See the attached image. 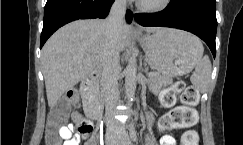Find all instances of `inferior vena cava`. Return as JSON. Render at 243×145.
I'll list each match as a JSON object with an SVG mask.
<instances>
[{
  "label": "inferior vena cava",
  "mask_w": 243,
  "mask_h": 145,
  "mask_svg": "<svg viewBox=\"0 0 243 145\" xmlns=\"http://www.w3.org/2000/svg\"><path fill=\"white\" fill-rule=\"evenodd\" d=\"M126 0H116L106 19V47L101 63V86L105 99L106 116L110 122L113 110L119 101L118 75L119 65V33L124 23Z\"/></svg>",
  "instance_id": "inferior-vena-cava-1"
}]
</instances>
